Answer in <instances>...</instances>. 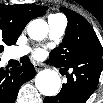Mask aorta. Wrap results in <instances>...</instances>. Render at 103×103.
<instances>
[{"label":"aorta","mask_w":103,"mask_h":103,"mask_svg":"<svg viewBox=\"0 0 103 103\" xmlns=\"http://www.w3.org/2000/svg\"><path fill=\"white\" fill-rule=\"evenodd\" d=\"M27 32L31 39L42 40L48 34V24L42 19H35L28 24ZM35 85L42 95L54 96L60 89V76L54 70H42L36 75Z\"/></svg>","instance_id":"1"}]
</instances>
